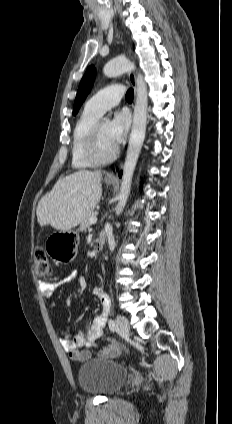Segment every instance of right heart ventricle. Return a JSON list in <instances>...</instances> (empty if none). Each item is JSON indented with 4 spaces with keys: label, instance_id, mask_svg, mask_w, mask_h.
Masks as SVG:
<instances>
[{
    "label": "right heart ventricle",
    "instance_id": "e07e8e85",
    "mask_svg": "<svg viewBox=\"0 0 232 424\" xmlns=\"http://www.w3.org/2000/svg\"><path fill=\"white\" fill-rule=\"evenodd\" d=\"M100 114L84 108L77 120L72 137L71 164L75 169H87L96 166L86 154L89 134L94 124L99 120Z\"/></svg>",
    "mask_w": 232,
    "mask_h": 424
}]
</instances>
